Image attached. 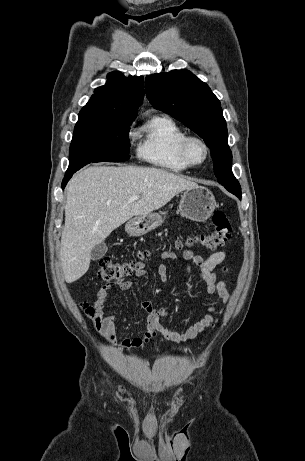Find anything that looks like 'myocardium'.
Masks as SVG:
<instances>
[{
  "mask_svg": "<svg viewBox=\"0 0 305 461\" xmlns=\"http://www.w3.org/2000/svg\"><path fill=\"white\" fill-rule=\"evenodd\" d=\"M194 142L200 144L204 149V158L199 162L194 161L190 154V146ZM180 152L183 159L187 162L189 166H200L204 164L210 155V149L208 144L201 137L195 135H187L182 140L180 145Z\"/></svg>",
  "mask_w": 305,
  "mask_h": 461,
  "instance_id": "f54148a6",
  "label": "myocardium"
}]
</instances>
